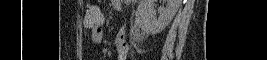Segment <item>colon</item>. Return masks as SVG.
<instances>
[{
    "mask_svg": "<svg viewBox=\"0 0 267 60\" xmlns=\"http://www.w3.org/2000/svg\"><path fill=\"white\" fill-rule=\"evenodd\" d=\"M102 24V13L98 6L91 5L85 11V25L89 28H98Z\"/></svg>",
    "mask_w": 267,
    "mask_h": 60,
    "instance_id": "colon-1",
    "label": "colon"
}]
</instances>
